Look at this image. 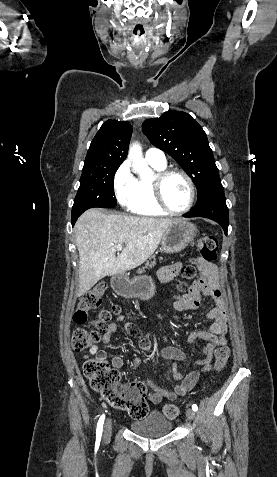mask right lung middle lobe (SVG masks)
<instances>
[{
  "label": "right lung middle lobe",
  "mask_w": 277,
  "mask_h": 477,
  "mask_svg": "<svg viewBox=\"0 0 277 477\" xmlns=\"http://www.w3.org/2000/svg\"><path fill=\"white\" fill-rule=\"evenodd\" d=\"M117 169L118 167H112L82 172L80 187L72 208V225L89 208H111L116 206L113 181Z\"/></svg>",
  "instance_id": "1"
}]
</instances>
